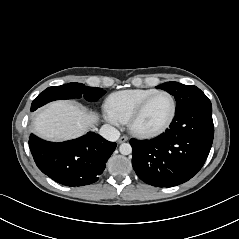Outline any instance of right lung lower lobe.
Instances as JSON below:
<instances>
[{
    "label": "right lung lower lobe",
    "mask_w": 239,
    "mask_h": 239,
    "mask_svg": "<svg viewBox=\"0 0 239 239\" xmlns=\"http://www.w3.org/2000/svg\"><path fill=\"white\" fill-rule=\"evenodd\" d=\"M29 147L36 165L44 174L60 184L74 187L98 180L116 143L94 132L62 143L44 141L31 134Z\"/></svg>",
    "instance_id": "98d812e1"
}]
</instances>
